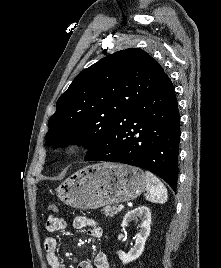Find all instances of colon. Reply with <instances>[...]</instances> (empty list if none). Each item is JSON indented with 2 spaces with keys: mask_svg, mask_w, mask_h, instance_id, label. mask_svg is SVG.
<instances>
[{
  "mask_svg": "<svg viewBox=\"0 0 221 268\" xmlns=\"http://www.w3.org/2000/svg\"><path fill=\"white\" fill-rule=\"evenodd\" d=\"M48 211H49L51 214L56 213V212L58 211V207H57V205H55V204H50V205L48 206Z\"/></svg>",
  "mask_w": 221,
  "mask_h": 268,
  "instance_id": "colon-1",
  "label": "colon"
}]
</instances>
